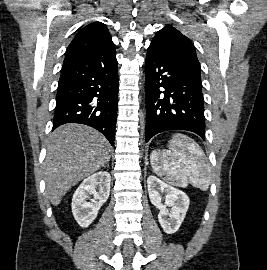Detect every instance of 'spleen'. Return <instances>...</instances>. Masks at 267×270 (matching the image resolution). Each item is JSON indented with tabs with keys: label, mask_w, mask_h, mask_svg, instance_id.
<instances>
[{
	"label": "spleen",
	"mask_w": 267,
	"mask_h": 270,
	"mask_svg": "<svg viewBox=\"0 0 267 270\" xmlns=\"http://www.w3.org/2000/svg\"><path fill=\"white\" fill-rule=\"evenodd\" d=\"M154 172L168 183L194 187L205 191L210 184V165L200 146L189 136L176 133L169 142V150L154 151L150 155Z\"/></svg>",
	"instance_id": "obj_1"
}]
</instances>
